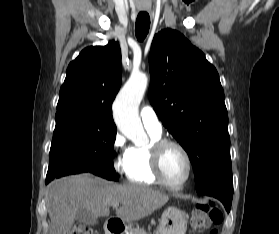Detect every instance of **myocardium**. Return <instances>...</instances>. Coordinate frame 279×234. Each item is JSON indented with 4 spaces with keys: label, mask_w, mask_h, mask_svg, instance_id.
I'll return each instance as SVG.
<instances>
[{
    "label": "myocardium",
    "mask_w": 279,
    "mask_h": 234,
    "mask_svg": "<svg viewBox=\"0 0 279 234\" xmlns=\"http://www.w3.org/2000/svg\"><path fill=\"white\" fill-rule=\"evenodd\" d=\"M168 147L177 148L184 156L187 164V173L185 178L179 184L170 183L163 173L162 159L165 150ZM151 166L152 171L157 179V181L164 187L177 191L182 189L190 180L193 173V161L188 150L180 142L168 138H160L155 140L151 145Z\"/></svg>",
    "instance_id": "myocardium-1"
}]
</instances>
